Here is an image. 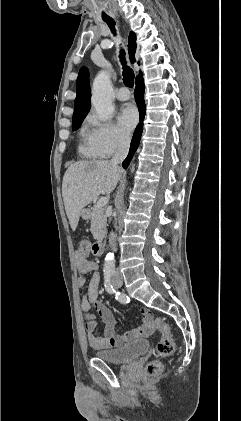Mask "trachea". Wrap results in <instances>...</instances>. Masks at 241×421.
I'll return each instance as SVG.
<instances>
[{
    "instance_id": "trachea-1",
    "label": "trachea",
    "mask_w": 241,
    "mask_h": 421,
    "mask_svg": "<svg viewBox=\"0 0 241 421\" xmlns=\"http://www.w3.org/2000/svg\"><path fill=\"white\" fill-rule=\"evenodd\" d=\"M104 21L108 24L111 31L113 33H115V29H114L115 22H114V20L113 19H104ZM124 56H125V53H124L123 50H121L120 58H121V63L123 64V73H122L123 74V82L127 87H133V85H134V72L131 68H129L126 65Z\"/></svg>"
}]
</instances>
